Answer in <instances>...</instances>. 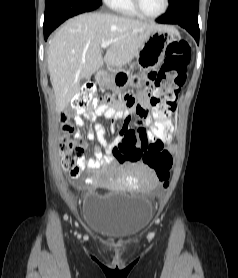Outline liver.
Masks as SVG:
<instances>
[{"label":"liver","mask_w":238,"mask_h":278,"mask_svg":"<svg viewBox=\"0 0 238 278\" xmlns=\"http://www.w3.org/2000/svg\"><path fill=\"white\" fill-rule=\"evenodd\" d=\"M163 26L108 13H85L68 20L48 48V71L56 108L63 111L104 62L121 67L137 56L147 36ZM112 41L103 59L101 43Z\"/></svg>","instance_id":"1"}]
</instances>
